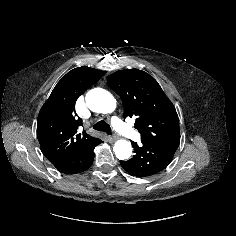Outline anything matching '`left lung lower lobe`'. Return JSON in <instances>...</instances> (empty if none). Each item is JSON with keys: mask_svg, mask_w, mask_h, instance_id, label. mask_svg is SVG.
<instances>
[{"mask_svg": "<svg viewBox=\"0 0 236 236\" xmlns=\"http://www.w3.org/2000/svg\"><path fill=\"white\" fill-rule=\"evenodd\" d=\"M131 143L135 155L128 161H121V166L136 177H149L170 164L180 141L142 142L140 146L136 142Z\"/></svg>", "mask_w": 236, "mask_h": 236, "instance_id": "left-lung-lower-lobe-1", "label": "left lung lower lobe"}]
</instances>
